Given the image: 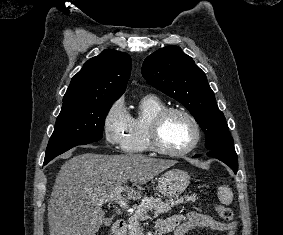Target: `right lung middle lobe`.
<instances>
[{
	"label": "right lung middle lobe",
	"mask_w": 283,
	"mask_h": 235,
	"mask_svg": "<svg viewBox=\"0 0 283 235\" xmlns=\"http://www.w3.org/2000/svg\"><path fill=\"white\" fill-rule=\"evenodd\" d=\"M114 101H71L62 105L49 140L44 163L77 146L99 141Z\"/></svg>",
	"instance_id": "right-lung-middle-lobe-1"
}]
</instances>
